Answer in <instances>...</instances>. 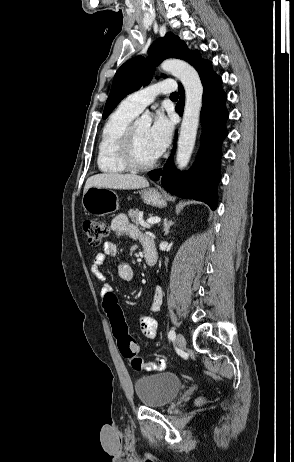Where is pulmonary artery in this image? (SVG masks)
I'll list each match as a JSON object with an SVG mask.
<instances>
[{
	"label": "pulmonary artery",
	"instance_id": "pulmonary-artery-1",
	"mask_svg": "<svg viewBox=\"0 0 294 462\" xmlns=\"http://www.w3.org/2000/svg\"><path fill=\"white\" fill-rule=\"evenodd\" d=\"M175 89L176 87L172 79L161 80L129 94L121 104L135 114H139L146 106L151 104L158 95L172 93Z\"/></svg>",
	"mask_w": 294,
	"mask_h": 462
}]
</instances>
